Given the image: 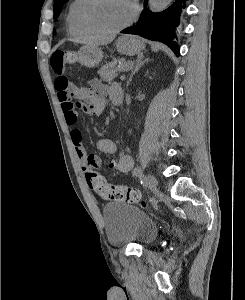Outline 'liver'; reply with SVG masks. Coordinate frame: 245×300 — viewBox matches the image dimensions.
<instances>
[{
    "label": "liver",
    "mask_w": 245,
    "mask_h": 300,
    "mask_svg": "<svg viewBox=\"0 0 245 300\" xmlns=\"http://www.w3.org/2000/svg\"><path fill=\"white\" fill-rule=\"evenodd\" d=\"M114 40V37H107V38H96L90 37L83 41L86 46H99V45H106L111 43Z\"/></svg>",
    "instance_id": "6515ba94"
}]
</instances>
